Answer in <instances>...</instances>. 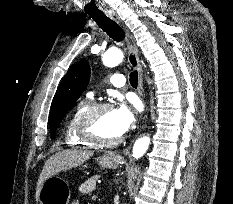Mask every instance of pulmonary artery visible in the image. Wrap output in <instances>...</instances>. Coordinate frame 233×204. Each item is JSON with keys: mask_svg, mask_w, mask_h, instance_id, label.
<instances>
[{"mask_svg": "<svg viewBox=\"0 0 233 204\" xmlns=\"http://www.w3.org/2000/svg\"><path fill=\"white\" fill-rule=\"evenodd\" d=\"M110 82L115 87H123L125 85V77L122 74H113L110 77ZM89 96H92V93Z\"/></svg>", "mask_w": 233, "mask_h": 204, "instance_id": "pulmonary-artery-1", "label": "pulmonary artery"}]
</instances>
